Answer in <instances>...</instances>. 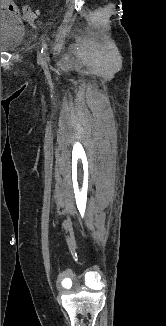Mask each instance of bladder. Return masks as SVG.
<instances>
[{"instance_id": "bladder-1", "label": "bladder", "mask_w": 166, "mask_h": 326, "mask_svg": "<svg viewBox=\"0 0 166 326\" xmlns=\"http://www.w3.org/2000/svg\"><path fill=\"white\" fill-rule=\"evenodd\" d=\"M25 34V24L21 17L1 10V51L17 48Z\"/></svg>"}]
</instances>
